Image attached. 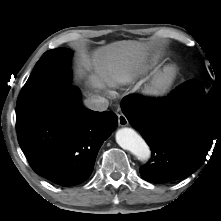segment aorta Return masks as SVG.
<instances>
[{
	"mask_svg": "<svg viewBox=\"0 0 221 221\" xmlns=\"http://www.w3.org/2000/svg\"><path fill=\"white\" fill-rule=\"evenodd\" d=\"M116 142L121 148L136 156L138 160L146 161L151 156L147 143L131 128L119 129L116 132Z\"/></svg>",
	"mask_w": 221,
	"mask_h": 221,
	"instance_id": "aorta-1",
	"label": "aorta"
}]
</instances>
